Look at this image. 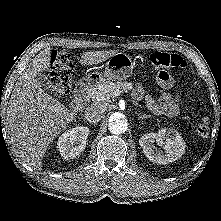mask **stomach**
<instances>
[{
	"label": "stomach",
	"mask_w": 221,
	"mask_h": 221,
	"mask_svg": "<svg viewBox=\"0 0 221 221\" xmlns=\"http://www.w3.org/2000/svg\"><path fill=\"white\" fill-rule=\"evenodd\" d=\"M133 68L134 63L130 56L119 52L108 59L104 73H93L88 79L98 83H104L106 81L120 82L131 76Z\"/></svg>",
	"instance_id": "1"
}]
</instances>
